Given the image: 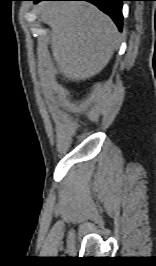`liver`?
Returning <instances> with one entry per match:
<instances>
[{
  "label": "liver",
  "instance_id": "1",
  "mask_svg": "<svg viewBox=\"0 0 156 266\" xmlns=\"http://www.w3.org/2000/svg\"><path fill=\"white\" fill-rule=\"evenodd\" d=\"M41 18L51 28V51L64 80L85 81L100 73L119 44L110 17L87 2H44Z\"/></svg>",
  "mask_w": 156,
  "mask_h": 266
}]
</instances>
